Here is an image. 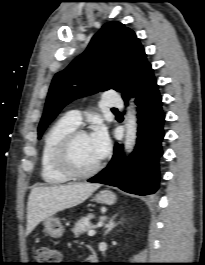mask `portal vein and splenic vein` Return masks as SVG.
<instances>
[{
  "mask_svg": "<svg viewBox=\"0 0 205 265\" xmlns=\"http://www.w3.org/2000/svg\"><path fill=\"white\" fill-rule=\"evenodd\" d=\"M95 234H96V231L93 230V229H90V230L88 231V235H89V236H94Z\"/></svg>",
  "mask_w": 205,
  "mask_h": 265,
  "instance_id": "1",
  "label": "portal vein and splenic vein"
}]
</instances>
